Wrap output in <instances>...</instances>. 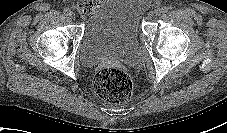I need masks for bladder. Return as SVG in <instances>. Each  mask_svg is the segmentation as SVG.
I'll return each mask as SVG.
<instances>
[{"label": "bladder", "mask_w": 227, "mask_h": 133, "mask_svg": "<svg viewBox=\"0 0 227 133\" xmlns=\"http://www.w3.org/2000/svg\"><path fill=\"white\" fill-rule=\"evenodd\" d=\"M145 5V0H103L85 22L78 48L82 64L104 60L138 63Z\"/></svg>", "instance_id": "bladder-1"}]
</instances>
